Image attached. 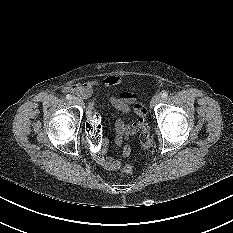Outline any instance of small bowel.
I'll return each instance as SVG.
<instances>
[{"label":"small bowel","instance_id":"c3829d8e","mask_svg":"<svg viewBox=\"0 0 233 233\" xmlns=\"http://www.w3.org/2000/svg\"><path fill=\"white\" fill-rule=\"evenodd\" d=\"M121 82V78L116 75L107 76L100 80H90L83 84H75L67 87V91L77 94L81 98L88 99L93 95L94 87L100 86L109 88L118 85ZM96 98L92 97L89 102L88 116L91 111H94V104ZM110 103L122 113L134 112L138 118L133 120L129 124H126L123 120H117L116 122V143L122 145L124 141L136 133L140 129V124L145 118L146 110L142 104L137 102V96L134 92L129 90H122L115 96L109 98ZM100 124V123H99ZM88 135V133H87ZM101 148L98 153H93L95 161L104 169L112 171L117 170L121 166L119 159L107 156L108 141L101 137ZM130 154V147L125 145L122 150V156L127 157Z\"/></svg>","mask_w":233,"mask_h":233}]
</instances>
